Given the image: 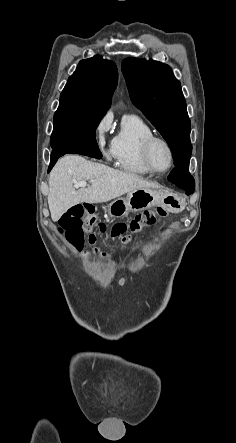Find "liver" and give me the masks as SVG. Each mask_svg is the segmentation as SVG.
I'll return each mask as SVG.
<instances>
[{
    "label": "liver",
    "instance_id": "6515ba94",
    "mask_svg": "<svg viewBox=\"0 0 236 443\" xmlns=\"http://www.w3.org/2000/svg\"><path fill=\"white\" fill-rule=\"evenodd\" d=\"M89 181L87 188L76 190L74 184ZM159 188L136 174L90 162L80 156L59 159L49 177L48 205L54 222L79 203H102L138 189Z\"/></svg>",
    "mask_w": 236,
    "mask_h": 443
}]
</instances>
